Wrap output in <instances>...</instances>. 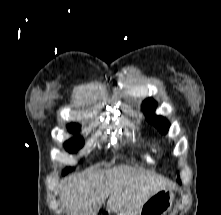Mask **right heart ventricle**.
Segmentation results:
<instances>
[{"instance_id": "1", "label": "right heart ventricle", "mask_w": 221, "mask_h": 215, "mask_svg": "<svg viewBox=\"0 0 221 215\" xmlns=\"http://www.w3.org/2000/svg\"><path fill=\"white\" fill-rule=\"evenodd\" d=\"M143 158L147 161H150V154L148 151L143 153Z\"/></svg>"}]
</instances>
